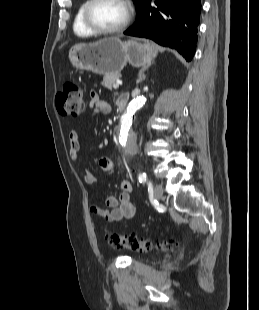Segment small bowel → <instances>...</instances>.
<instances>
[{
	"label": "small bowel",
	"instance_id": "obj_1",
	"mask_svg": "<svg viewBox=\"0 0 259 310\" xmlns=\"http://www.w3.org/2000/svg\"><path fill=\"white\" fill-rule=\"evenodd\" d=\"M90 105L98 113L109 114L112 110L111 105L101 100L96 92H92L90 95ZM70 139V157L73 161L80 160V133L78 130L73 129L69 134ZM99 167L103 172L111 173L114 171L115 166L110 158L102 157L99 159ZM83 180L87 185H95L97 179L95 175L86 170L83 174ZM120 187L122 193L119 197L115 195H109L106 198V206L109 209L102 208L98 205H92L91 211L98 217L108 221V222H118L124 219H131L135 215V205L131 201L130 193L132 191V184L127 179H122L120 181Z\"/></svg>",
	"mask_w": 259,
	"mask_h": 310
}]
</instances>
